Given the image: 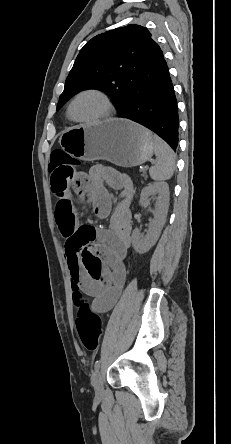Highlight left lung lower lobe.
Returning a JSON list of instances; mask_svg holds the SVG:
<instances>
[{"instance_id":"left-lung-lower-lobe-1","label":"left lung lower lobe","mask_w":231,"mask_h":444,"mask_svg":"<svg viewBox=\"0 0 231 444\" xmlns=\"http://www.w3.org/2000/svg\"><path fill=\"white\" fill-rule=\"evenodd\" d=\"M119 117L131 119L178 146V108L167 63L160 50L136 78Z\"/></svg>"}]
</instances>
